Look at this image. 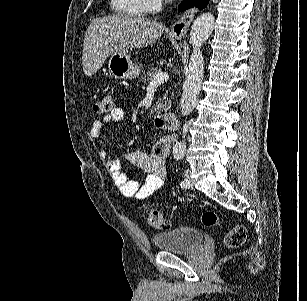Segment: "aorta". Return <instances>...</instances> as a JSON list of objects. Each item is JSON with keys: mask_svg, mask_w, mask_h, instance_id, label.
<instances>
[{"mask_svg": "<svg viewBox=\"0 0 307 301\" xmlns=\"http://www.w3.org/2000/svg\"><path fill=\"white\" fill-rule=\"evenodd\" d=\"M215 24V16L212 12H203L195 18L191 30L190 40L193 52L186 70V78L183 84V92L180 102L182 116H187L196 106V100L200 92L204 76V58L201 46L209 38ZM175 153H184V142H176L173 146Z\"/></svg>", "mask_w": 307, "mask_h": 301, "instance_id": "aorta-1", "label": "aorta"}]
</instances>
